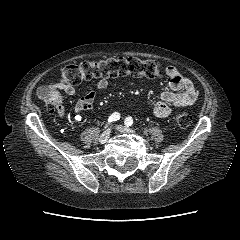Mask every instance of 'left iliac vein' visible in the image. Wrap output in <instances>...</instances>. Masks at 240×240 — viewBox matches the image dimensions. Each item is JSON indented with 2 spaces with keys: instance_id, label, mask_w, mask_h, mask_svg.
Returning a JSON list of instances; mask_svg holds the SVG:
<instances>
[{
  "instance_id": "left-iliac-vein-1",
  "label": "left iliac vein",
  "mask_w": 240,
  "mask_h": 240,
  "mask_svg": "<svg viewBox=\"0 0 240 240\" xmlns=\"http://www.w3.org/2000/svg\"><path fill=\"white\" fill-rule=\"evenodd\" d=\"M117 129L122 133H133L134 131L124 125H118Z\"/></svg>"
}]
</instances>
